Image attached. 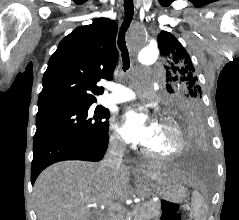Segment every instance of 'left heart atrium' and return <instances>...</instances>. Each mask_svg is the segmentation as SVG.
<instances>
[{"mask_svg": "<svg viewBox=\"0 0 239 220\" xmlns=\"http://www.w3.org/2000/svg\"><path fill=\"white\" fill-rule=\"evenodd\" d=\"M155 121L140 109H130L122 116L119 133L125 141L145 144L150 138Z\"/></svg>", "mask_w": 239, "mask_h": 220, "instance_id": "obj_1", "label": "left heart atrium"}]
</instances>
